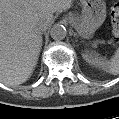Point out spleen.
Here are the masks:
<instances>
[{"instance_id": "spleen-1", "label": "spleen", "mask_w": 119, "mask_h": 119, "mask_svg": "<svg viewBox=\"0 0 119 119\" xmlns=\"http://www.w3.org/2000/svg\"><path fill=\"white\" fill-rule=\"evenodd\" d=\"M83 58L96 68L102 69L112 75L119 74V48L110 60L100 58L93 52L84 53Z\"/></svg>"}]
</instances>
